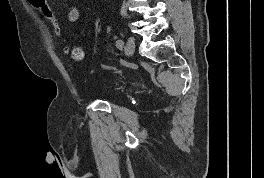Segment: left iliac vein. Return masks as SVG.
<instances>
[{"label":"left iliac vein","instance_id":"left-iliac-vein-1","mask_svg":"<svg viewBox=\"0 0 264 178\" xmlns=\"http://www.w3.org/2000/svg\"><path fill=\"white\" fill-rule=\"evenodd\" d=\"M134 49H135V41L132 37H129L125 45L126 55L131 56L134 52Z\"/></svg>","mask_w":264,"mask_h":178}]
</instances>
